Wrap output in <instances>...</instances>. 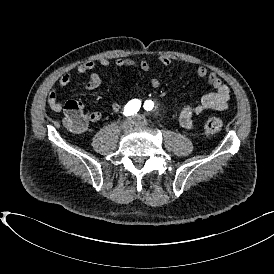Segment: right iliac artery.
<instances>
[{"label": "right iliac artery", "mask_w": 274, "mask_h": 274, "mask_svg": "<svg viewBox=\"0 0 274 274\" xmlns=\"http://www.w3.org/2000/svg\"><path fill=\"white\" fill-rule=\"evenodd\" d=\"M141 107V101L138 99H133L127 103L124 109V114L126 116H132L136 114Z\"/></svg>", "instance_id": "obj_1"}]
</instances>
